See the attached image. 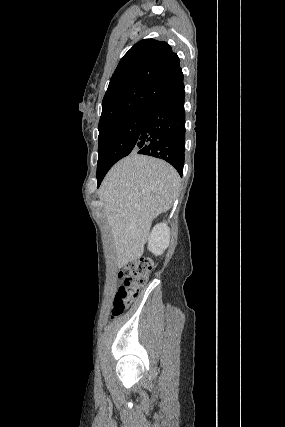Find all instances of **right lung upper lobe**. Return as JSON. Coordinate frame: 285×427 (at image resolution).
Listing matches in <instances>:
<instances>
[{"label": "right lung upper lobe", "instance_id": "1", "mask_svg": "<svg viewBox=\"0 0 285 427\" xmlns=\"http://www.w3.org/2000/svg\"><path fill=\"white\" fill-rule=\"evenodd\" d=\"M183 85L179 58L154 39L136 43L120 60L102 102L99 125L149 105Z\"/></svg>", "mask_w": 285, "mask_h": 427}]
</instances>
